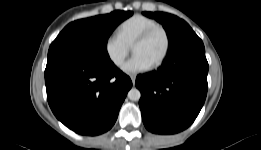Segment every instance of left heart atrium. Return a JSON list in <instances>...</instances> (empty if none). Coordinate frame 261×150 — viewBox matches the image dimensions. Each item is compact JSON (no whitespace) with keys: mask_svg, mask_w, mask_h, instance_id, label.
Instances as JSON below:
<instances>
[{"mask_svg":"<svg viewBox=\"0 0 261 150\" xmlns=\"http://www.w3.org/2000/svg\"><path fill=\"white\" fill-rule=\"evenodd\" d=\"M151 64L138 54H134L122 67L123 71L129 74H137L147 71Z\"/></svg>","mask_w":261,"mask_h":150,"instance_id":"1","label":"left heart atrium"}]
</instances>
